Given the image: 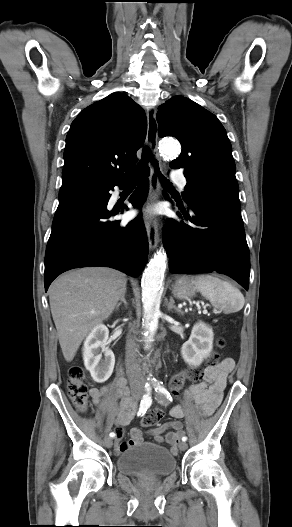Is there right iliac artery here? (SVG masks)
Masks as SVG:
<instances>
[{"label":"right iliac artery","instance_id":"obj_1","mask_svg":"<svg viewBox=\"0 0 292 527\" xmlns=\"http://www.w3.org/2000/svg\"><path fill=\"white\" fill-rule=\"evenodd\" d=\"M151 403H152L151 387L150 385H146V393L143 395V398L141 400L138 415L144 414L146 410L150 407ZM114 436H115V433L111 432L110 437H114Z\"/></svg>","mask_w":292,"mask_h":527}]
</instances>
